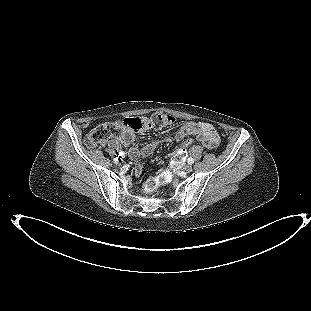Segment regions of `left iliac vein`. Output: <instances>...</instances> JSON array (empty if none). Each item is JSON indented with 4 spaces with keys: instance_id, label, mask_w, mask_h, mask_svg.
Listing matches in <instances>:
<instances>
[{
    "instance_id": "1",
    "label": "left iliac vein",
    "mask_w": 311,
    "mask_h": 311,
    "mask_svg": "<svg viewBox=\"0 0 311 311\" xmlns=\"http://www.w3.org/2000/svg\"><path fill=\"white\" fill-rule=\"evenodd\" d=\"M182 171L185 173H190L192 171V166L190 164H187L183 166Z\"/></svg>"
}]
</instances>
